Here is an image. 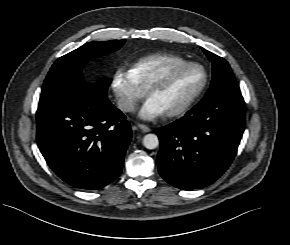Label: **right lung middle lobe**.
Listing matches in <instances>:
<instances>
[{
  "instance_id": "dd1d6c3e",
  "label": "right lung middle lobe",
  "mask_w": 290,
  "mask_h": 245,
  "mask_svg": "<svg viewBox=\"0 0 290 245\" xmlns=\"http://www.w3.org/2000/svg\"><path fill=\"white\" fill-rule=\"evenodd\" d=\"M124 42V40H112L85 43L57 59L46 76L39 104L69 98L87 90L106 97L111 79L105 77L95 84L86 83L82 68L91 58L115 52L123 46Z\"/></svg>"
}]
</instances>
